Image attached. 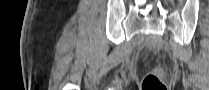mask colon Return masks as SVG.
Returning a JSON list of instances; mask_svg holds the SVG:
<instances>
[{"mask_svg": "<svg viewBox=\"0 0 209 90\" xmlns=\"http://www.w3.org/2000/svg\"><path fill=\"white\" fill-rule=\"evenodd\" d=\"M162 70L148 74L142 82V90H168V85L162 79Z\"/></svg>", "mask_w": 209, "mask_h": 90, "instance_id": "1", "label": "colon"}]
</instances>
